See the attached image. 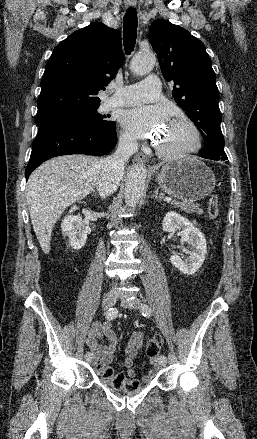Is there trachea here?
Masks as SVG:
<instances>
[{"label":"trachea","mask_w":257,"mask_h":439,"mask_svg":"<svg viewBox=\"0 0 257 439\" xmlns=\"http://www.w3.org/2000/svg\"><path fill=\"white\" fill-rule=\"evenodd\" d=\"M137 26V12L133 7H129L123 20V43L127 55L134 50L137 37Z\"/></svg>","instance_id":"trachea-1"}]
</instances>
